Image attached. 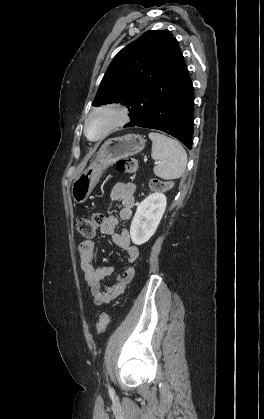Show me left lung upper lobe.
I'll list each match as a JSON object with an SVG mask.
<instances>
[{"label":"left lung upper lobe","mask_w":264,"mask_h":419,"mask_svg":"<svg viewBox=\"0 0 264 419\" xmlns=\"http://www.w3.org/2000/svg\"><path fill=\"white\" fill-rule=\"evenodd\" d=\"M180 55L178 42L168 30L144 33L112 60L93 106L123 102L134 108L154 83L166 81L175 73Z\"/></svg>","instance_id":"left-lung-upper-lobe-1"}]
</instances>
